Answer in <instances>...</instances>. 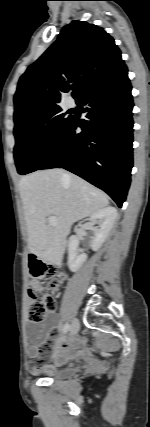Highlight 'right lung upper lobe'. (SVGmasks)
Segmentation results:
<instances>
[{
  "mask_svg": "<svg viewBox=\"0 0 150 427\" xmlns=\"http://www.w3.org/2000/svg\"><path fill=\"white\" fill-rule=\"evenodd\" d=\"M123 65L119 48L103 28L72 21L21 76L14 96V121L59 106L61 93L68 88L74 89L72 95L77 101Z\"/></svg>",
  "mask_w": 150,
  "mask_h": 427,
  "instance_id": "cb5924a9",
  "label": "right lung upper lobe"
}]
</instances>
